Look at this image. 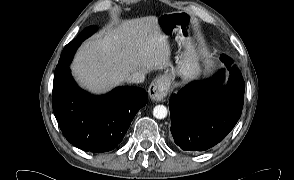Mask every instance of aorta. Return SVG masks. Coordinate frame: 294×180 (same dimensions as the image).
Instances as JSON below:
<instances>
[{"label": "aorta", "instance_id": "obj_1", "mask_svg": "<svg viewBox=\"0 0 294 180\" xmlns=\"http://www.w3.org/2000/svg\"><path fill=\"white\" fill-rule=\"evenodd\" d=\"M167 113V108L164 105H157L153 109V116L157 119H164Z\"/></svg>", "mask_w": 294, "mask_h": 180}]
</instances>
